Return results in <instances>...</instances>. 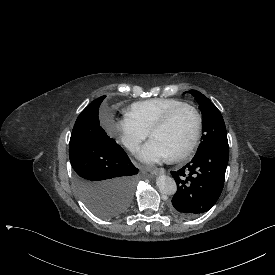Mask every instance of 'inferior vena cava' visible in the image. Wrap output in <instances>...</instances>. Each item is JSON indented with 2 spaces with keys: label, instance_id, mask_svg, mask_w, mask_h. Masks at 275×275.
I'll return each instance as SVG.
<instances>
[{
  "label": "inferior vena cava",
  "instance_id": "602c4592",
  "mask_svg": "<svg viewBox=\"0 0 275 275\" xmlns=\"http://www.w3.org/2000/svg\"><path fill=\"white\" fill-rule=\"evenodd\" d=\"M123 144L132 153H135L139 150V142H137V141H133L130 139H124Z\"/></svg>",
  "mask_w": 275,
  "mask_h": 275
}]
</instances>
